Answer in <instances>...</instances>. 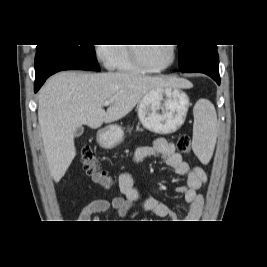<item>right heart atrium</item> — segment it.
I'll list each match as a JSON object with an SVG mask.
<instances>
[{
    "mask_svg": "<svg viewBox=\"0 0 267 267\" xmlns=\"http://www.w3.org/2000/svg\"><path fill=\"white\" fill-rule=\"evenodd\" d=\"M95 55L105 67L112 68V61L114 56V47L111 44L101 43L95 45Z\"/></svg>",
    "mask_w": 267,
    "mask_h": 267,
    "instance_id": "obj_1",
    "label": "right heart atrium"
}]
</instances>
